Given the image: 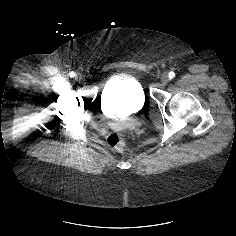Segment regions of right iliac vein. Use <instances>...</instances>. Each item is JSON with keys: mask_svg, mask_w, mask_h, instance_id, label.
<instances>
[{"mask_svg": "<svg viewBox=\"0 0 236 236\" xmlns=\"http://www.w3.org/2000/svg\"><path fill=\"white\" fill-rule=\"evenodd\" d=\"M76 80L81 82V81H83V77L81 75H77Z\"/></svg>", "mask_w": 236, "mask_h": 236, "instance_id": "obj_1", "label": "right iliac vein"}]
</instances>
